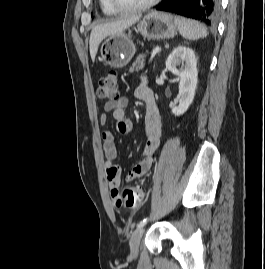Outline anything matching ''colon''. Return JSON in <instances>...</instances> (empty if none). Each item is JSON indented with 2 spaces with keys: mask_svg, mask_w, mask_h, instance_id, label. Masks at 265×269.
<instances>
[{
  "mask_svg": "<svg viewBox=\"0 0 265 269\" xmlns=\"http://www.w3.org/2000/svg\"><path fill=\"white\" fill-rule=\"evenodd\" d=\"M118 75L108 71L99 81L98 96L103 101H114L118 98ZM120 206L136 207L143 198V191L138 187H128L117 194Z\"/></svg>",
  "mask_w": 265,
  "mask_h": 269,
  "instance_id": "obj_1",
  "label": "colon"
}]
</instances>
